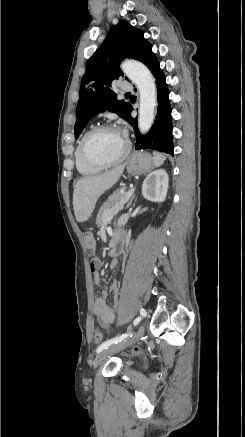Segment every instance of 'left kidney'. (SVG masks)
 <instances>
[{
	"mask_svg": "<svg viewBox=\"0 0 245 437\" xmlns=\"http://www.w3.org/2000/svg\"><path fill=\"white\" fill-rule=\"evenodd\" d=\"M169 177L165 170L159 169L148 174L142 185V195L152 202H163L166 199Z\"/></svg>",
	"mask_w": 245,
	"mask_h": 437,
	"instance_id": "5707ae66",
	"label": "left kidney"
}]
</instances>
